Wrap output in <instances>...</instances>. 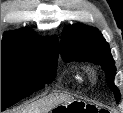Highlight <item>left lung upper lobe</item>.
Masks as SVG:
<instances>
[{
	"label": "left lung upper lobe",
	"instance_id": "1",
	"mask_svg": "<svg viewBox=\"0 0 123 113\" xmlns=\"http://www.w3.org/2000/svg\"><path fill=\"white\" fill-rule=\"evenodd\" d=\"M61 47V56L66 63L76 60L102 66L109 88L117 101L120 100V92L114 85L115 62L108 43L97 29L79 23L69 26L63 32Z\"/></svg>",
	"mask_w": 123,
	"mask_h": 113
}]
</instances>
